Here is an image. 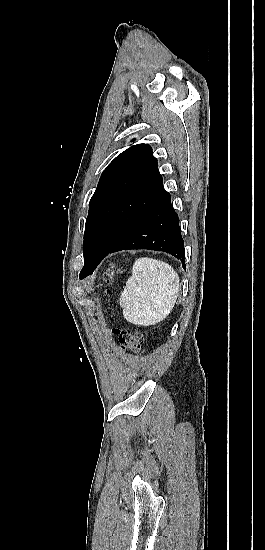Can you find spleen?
<instances>
[{"label": "spleen", "mask_w": 265, "mask_h": 550, "mask_svg": "<svg viewBox=\"0 0 265 550\" xmlns=\"http://www.w3.org/2000/svg\"><path fill=\"white\" fill-rule=\"evenodd\" d=\"M179 291V276L172 266L153 258H138L120 298L123 315L139 326L159 323L172 311Z\"/></svg>", "instance_id": "spleen-1"}]
</instances>
